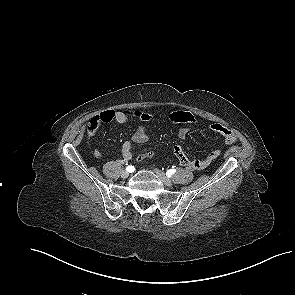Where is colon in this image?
Here are the masks:
<instances>
[{"label": "colon", "instance_id": "colon-1", "mask_svg": "<svg viewBox=\"0 0 295 295\" xmlns=\"http://www.w3.org/2000/svg\"><path fill=\"white\" fill-rule=\"evenodd\" d=\"M96 128H97V122L95 119H93V120H91V123H90V129L95 130ZM153 155H154L153 151H146L140 155L139 159L141 161L146 160V159L151 158Z\"/></svg>", "mask_w": 295, "mask_h": 295}]
</instances>
